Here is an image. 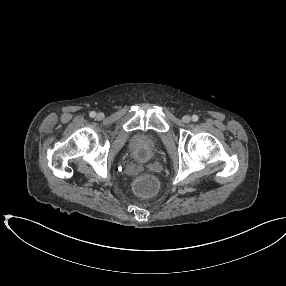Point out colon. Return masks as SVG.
Segmentation results:
<instances>
[{"label":"colon","mask_w":286,"mask_h":286,"mask_svg":"<svg viewBox=\"0 0 286 286\" xmlns=\"http://www.w3.org/2000/svg\"><path fill=\"white\" fill-rule=\"evenodd\" d=\"M134 189L141 196H151L158 189V181L154 176L145 174L136 180Z\"/></svg>","instance_id":"obj_1"}]
</instances>
